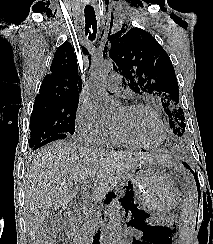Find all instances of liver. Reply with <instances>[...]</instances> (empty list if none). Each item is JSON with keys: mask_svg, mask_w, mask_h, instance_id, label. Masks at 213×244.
Instances as JSON below:
<instances>
[{"mask_svg": "<svg viewBox=\"0 0 213 244\" xmlns=\"http://www.w3.org/2000/svg\"><path fill=\"white\" fill-rule=\"evenodd\" d=\"M149 163L171 164L162 154L94 151L66 141L39 149L25 176L28 234H35L52 209H68L77 196L78 183L89 180L90 198L101 201L129 171Z\"/></svg>", "mask_w": 213, "mask_h": 244, "instance_id": "liver-1", "label": "liver"}]
</instances>
